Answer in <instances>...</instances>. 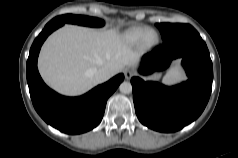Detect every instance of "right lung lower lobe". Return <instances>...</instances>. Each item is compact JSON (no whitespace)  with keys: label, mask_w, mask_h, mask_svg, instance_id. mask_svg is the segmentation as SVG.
<instances>
[{"label":"right lung lower lobe","mask_w":238,"mask_h":158,"mask_svg":"<svg viewBox=\"0 0 238 158\" xmlns=\"http://www.w3.org/2000/svg\"><path fill=\"white\" fill-rule=\"evenodd\" d=\"M62 22L50 21L34 40L27 60L26 75L33 106L46 123L67 134H80L96 127L102 120L107 99L124 80L119 74L80 97H65L48 88L37 69L40 48Z\"/></svg>","instance_id":"right-lung-lower-lobe-1"}]
</instances>
